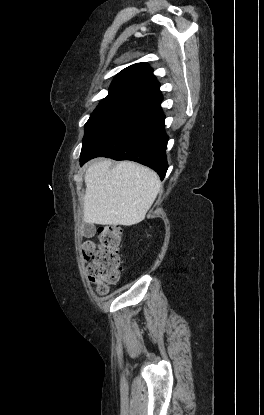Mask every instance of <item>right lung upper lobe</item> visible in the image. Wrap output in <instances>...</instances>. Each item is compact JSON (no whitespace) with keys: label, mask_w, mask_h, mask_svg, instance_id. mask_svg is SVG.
Instances as JSON below:
<instances>
[{"label":"right lung upper lobe","mask_w":264,"mask_h":415,"mask_svg":"<svg viewBox=\"0 0 264 415\" xmlns=\"http://www.w3.org/2000/svg\"><path fill=\"white\" fill-rule=\"evenodd\" d=\"M159 82L146 63H137L123 69L112 81L108 95L138 98L142 101L161 95Z\"/></svg>","instance_id":"right-lung-upper-lobe-1"}]
</instances>
